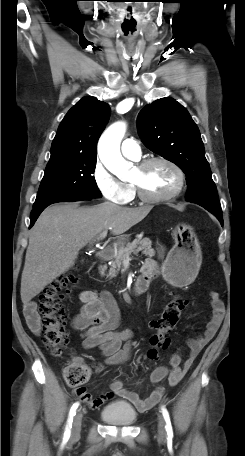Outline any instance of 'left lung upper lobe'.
Masks as SVG:
<instances>
[{
  "instance_id": "1",
  "label": "left lung upper lobe",
  "mask_w": 245,
  "mask_h": 456,
  "mask_svg": "<svg viewBox=\"0 0 245 456\" xmlns=\"http://www.w3.org/2000/svg\"><path fill=\"white\" fill-rule=\"evenodd\" d=\"M137 125L144 145L186 174L187 201L222 214L200 132L188 111L176 100L162 98L140 111Z\"/></svg>"
}]
</instances>
